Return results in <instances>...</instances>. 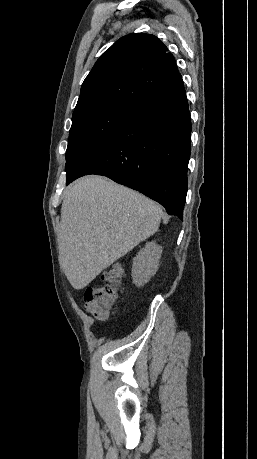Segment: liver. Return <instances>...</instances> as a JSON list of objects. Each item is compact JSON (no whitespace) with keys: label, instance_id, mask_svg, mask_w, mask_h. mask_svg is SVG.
I'll use <instances>...</instances> for the list:
<instances>
[{"label":"liver","instance_id":"1","mask_svg":"<svg viewBox=\"0 0 257 459\" xmlns=\"http://www.w3.org/2000/svg\"><path fill=\"white\" fill-rule=\"evenodd\" d=\"M161 208L101 176L78 180L66 192L58 234L60 264L74 289L97 275L159 228Z\"/></svg>","mask_w":257,"mask_h":459}]
</instances>
